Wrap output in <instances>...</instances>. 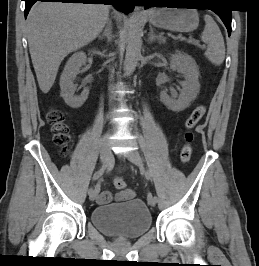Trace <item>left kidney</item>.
Listing matches in <instances>:
<instances>
[{"label": "left kidney", "instance_id": "5707ae66", "mask_svg": "<svg viewBox=\"0 0 259 266\" xmlns=\"http://www.w3.org/2000/svg\"><path fill=\"white\" fill-rule=\"evenodd\" d=\"M170 67L172 70L183 74L185 81L182 84L179 96L176 94L169 96L166 91H162L160 100L168 109L180 112L189 107L199 93V68L190 55L182 52L171 55Z\"/></svg>", "mask_w": 259, "mask_h": 266}]
</instances>
